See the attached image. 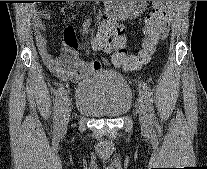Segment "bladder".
<instances>
[{
  "instance_id": "1",
  "label": "bladder",
  "mask_w": 207,
  "mask_h": 169,
  "mask_svg": "<svg viewBox=\"0 0 207 169\" xmlns=\"http://www.w3.org/2000/svg\"><path fill=\"white\" fill-rule=\"evenodd\" d=\"M132 100L130 85L118 74L106 70L79 82L75 92L77 111L100 118L124 115Z\"/></svg>"
}]
</instances>
